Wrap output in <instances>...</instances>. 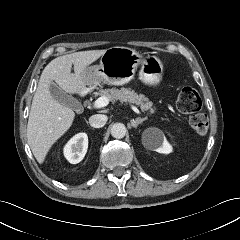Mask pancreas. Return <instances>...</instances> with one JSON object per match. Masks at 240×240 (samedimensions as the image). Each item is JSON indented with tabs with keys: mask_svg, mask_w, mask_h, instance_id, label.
<instances>
[{
	"mask_svg": "<svg viewBox=\"0 0 240 240\" xmlns=\"http://www.w3.org/2000/svg\"><path fill=\"white\" fill-rule=\"evenodd\" d=\"M103 96L109 98L110 101L115 102L116 100H120L121 102H130L141 108L142 111H149L150 114L155 112V108H153V103L149 101L147 97L143 94H137L131 89L127 88H112L100 91Z\"/></svg>",
	"mask_w": 240,
	"mask_h": 240,
	"instance_id": "obj_1",
	"label": "pancreas"
}]
</instances>
